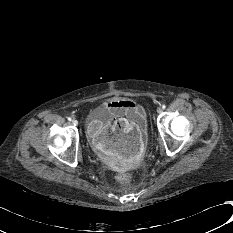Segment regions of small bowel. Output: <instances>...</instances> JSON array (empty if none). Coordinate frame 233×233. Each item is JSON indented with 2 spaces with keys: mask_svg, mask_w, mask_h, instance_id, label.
I'll list each match as a JSON object with an SVG mask.
<instances>
[{
  "mask_svg": "<svg viewBox=\"0 0 233 233\" xmlns=\"http://www.w3.org/2000/svg\"><path fill=\"white\" fill-rule=\"evenodd\" d=\"M106 107L114 117L125 115L133 124L140 122L145 116V110L140 104L126 98L111 99L106 102ZM119 121L125 125L120 131L104 130L102 122H92L90 136L102 152L125 163H134L142 155L144 134L140 128L129 125L124 118L120 117Z\"/></svg>",
  "mask_w": 233,
  "mask_h": 233,
  "instance_id": "1",
  "label": "small bowel"
}]
</instances>
